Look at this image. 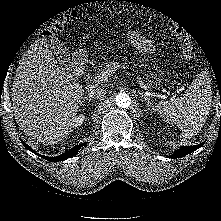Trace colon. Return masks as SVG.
<instances>
[{
    "mask_svg": "<svg viewBox=\"0 0 221 221\" xmlns=\"http://www.w3.org/2000/svg\"><path fill=\"white\" fill-rule=\"evenodd\" d=\"M77 13L70 12L62 16L59 20L51 23L44 31L45 36H52L68 27L74 19H76ZM169 31L174 34L181 42V54L182 57L191 62L196 56V47L189 37L186 29L175 21H170L167 23Z\"/></svg>",
    "mask_w": 221,
    "mask_h": 221,
    "instance_id": "1",
    "label": "colon"
}]
</instances>
